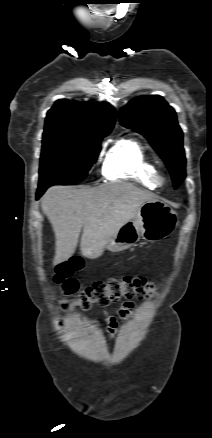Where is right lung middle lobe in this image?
I'll return each instance as SVG.
<instances>
[{
	"mask_svg": "<svg viewBox=\"0 0 212 438\" xmlns=\"http://www.w3.org/2000/svg\"><path fill=\"white\" fill-rule=\"evenodd\" d=\"M105 136L43 134L39 186L81 182L96 162Z\"/></svg>",
	"mask_w": 212,
	"mask_h": 438,
	"instance_id": "right-lung-middle-lobe-1",
	"label": "right lung middle lobe"
}]
</instances>
